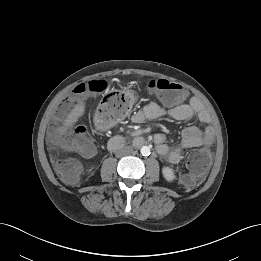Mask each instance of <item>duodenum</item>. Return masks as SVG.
Segmentation results:
<instances>
[{
    "label": "duodenum",
    "mask_w": 261,
    "mask_h": 261,
    "mask_svg": "<svg viewBox=\"0 0 261 261\" xmlns=\"http://www.w3.org/2000/svg\"><path fill=\"white\" fill-rule=\"evenodd\" d=\"M146 143V140L143 137H135L133 139V144L135 146H141ZM125 145V139L121 136H115L111 138L108 142V148L110 150H116L122 148Z\"/></svg>",
    "instance_id": "1"
}]
</instances>
